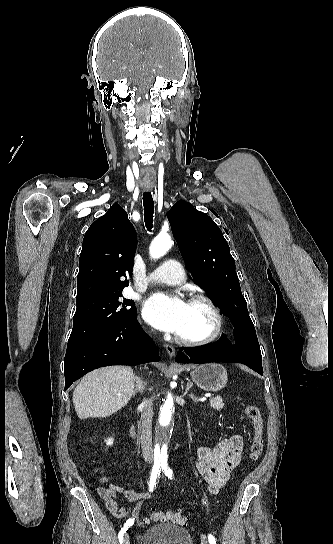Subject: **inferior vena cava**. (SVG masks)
I'll return each instance as SVG.
<instances>
[{"mask_svg": "<svg viewBox=\"0 0 333 544\" xmlns=\"http://www.w3.org/2000/svg\"><path fill=\"white\" fill-rule=\"evenodd\" d=\"M152 417H153V402L150 399L142 402L141 412V448L143 458L146 462L152 463L153 461V447H152Z\"/></svg>", "mask_w": 333, "mask_h": 544, "instance_id": "obj_1", "label": "inferior vena cava"}]
</instances>
